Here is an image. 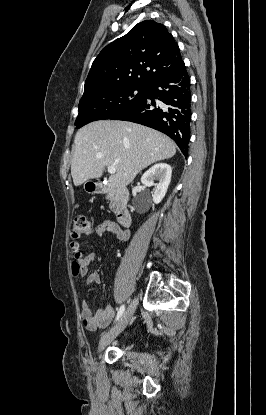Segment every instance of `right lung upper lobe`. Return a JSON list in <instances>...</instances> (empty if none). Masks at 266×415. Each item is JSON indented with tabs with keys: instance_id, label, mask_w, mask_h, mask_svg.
Wrapping results in <instances>:
<instances>
[{
	"instance_id": "obj_1",
	"label": "right lung upper lobe",
	"mask_w": 266,
	"mask_h": 415,
	"mask_svg": "<svg viewBox=\"0 0 266 415\" xmlns=\"http://www.w3.org/2000/svg\"><path fill=\"white\" fill-rule=\"evenodd\" d=\"M183 66L172 34L163 24L146 20L99 53L85 81L82 98L121 86L148 87Z\"/></svg>"
}]
</instances>
